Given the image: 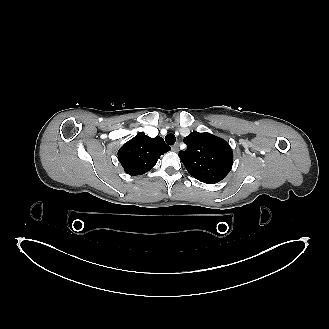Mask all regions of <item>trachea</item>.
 I'll use <instances>...</instances> for the list:
<instances>
[{
    "instance_id": "3493384b",
    "label": "trachea",
    "mask_w": 329,
    "mask_h": 329,
    "mask_svg": "<svg viewBox=\"0 0 329 329\" xmlns=\"http://www.w3.org/2000/svg\"><path fill=\"white\" fill-rule=\"evenodd\" d=\"M165 141L167 144L169 145H173L176 141V138L173 134H167L166 137H165Z\"/></svg>"
}]
</instances>
